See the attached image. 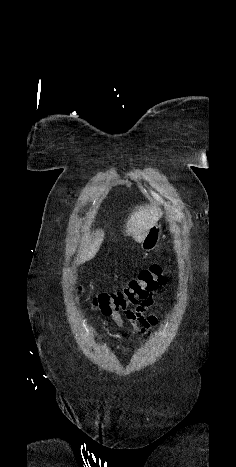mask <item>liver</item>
<instances>
[{"mask_svg":"<svg viewBox=\"0 0 236 467\" xmlns=\"http://www.w3.org/2000/svg\"><path fill=\"white\" fill-rule=\"evenodd\" d=\"M162 215L156 204L136 206L126 221L125 233L142 243L148 231L157 223ZM104 231L96 230L92 234L85 232L82 240V249L79 252L77 263L82 264L94 258L103 239Z\"/></svg>","mask_w":236,"mask_h":467,"instance_id":"1","label":"liver"}]
</instances>
